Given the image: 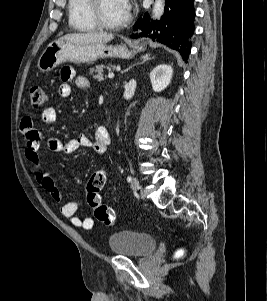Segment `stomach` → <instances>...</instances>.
<instances>
[{
    "label": "stomach",
    "instance_id": "stomach-1",
    "mask_svg": "<svg viewBox=\"0 0 267 301\" xmlns=\"http://www.w3.org/2000/svg\"><path fill=\"white\" fill-rule=\"evenodd\" d=\"M143 50L144 46L138 44H133L132 50H129L124 45L54 41L46 47L39 57L37 67L41 72H49L64 62L89 63L107 57L127 59Z\"/></svg>",
    "mask_w": 267,
    "mask_h": 301
}]
</instances>
